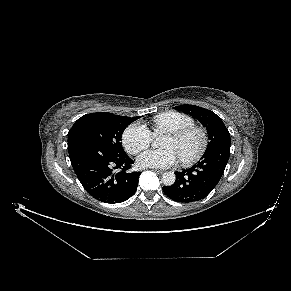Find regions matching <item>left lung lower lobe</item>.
Here are the masks:
<instances>
[{"label":"left lung lower lobe","mask_w":291,"mask_h":291,"mask_svg":"<svg viewBox=\"0 0 291 291\" xmlns=\"http://www.w3.org/2000/svg\"><path fill=\"white\" fill-rule=\"evenodd\" d=\"M229 155L230 146H221L204 154L193 167L182 172H175V183L171 186H164V193L170 199L181 203L202 200L218 184Z\"/></svg>","instance_id":"1"}]
</instances>
